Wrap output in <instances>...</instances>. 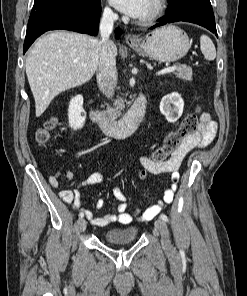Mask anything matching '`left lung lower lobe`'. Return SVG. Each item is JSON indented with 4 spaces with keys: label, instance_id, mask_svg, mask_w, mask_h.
I'll list each match as a JSON object with an SVG mask.
<instances>
[{
    "label": "left lung lower lobe",
    "instance_id": "1",
    "mask_svg": "<svg viewBox=\"0 0 247 296\" xmlns=\"http://www.w3.org/2000/svg\"><path fill=\"white\" fill-rule=\"evenodd\" d=\"M178 21L201 25L217 36L215 18L210 0H185L174 9L168 8L165 16L160 18V22L151 28Z\"/></svg>",
    "mask_w": 247,
    "mask_h": 296
}]
</instances>
